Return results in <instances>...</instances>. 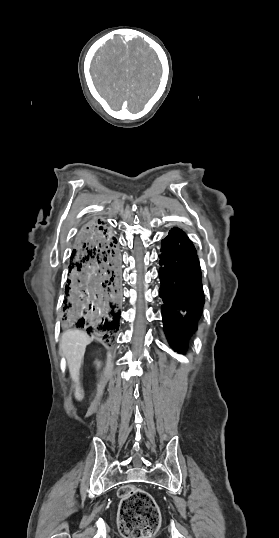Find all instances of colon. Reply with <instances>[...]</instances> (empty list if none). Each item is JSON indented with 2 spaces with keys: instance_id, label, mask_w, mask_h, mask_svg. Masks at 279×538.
<instances>
[{
  "instance_id": "5ec220e1",
  "label": "colon",
  "mask_w": 279,
  "mask_h": 538,
  "mask_svg": "<svg viewBox=\"0 0 279 538\" xmlns=\"http://www.w3.org/2000/svg\"><path fill=\"white\" fill-rule=\"evenodd\" d=\"M119 529L126 538H150L160 524V512L152 496L132 485L119 489Z\"/></svg>"
}]
</instances>
